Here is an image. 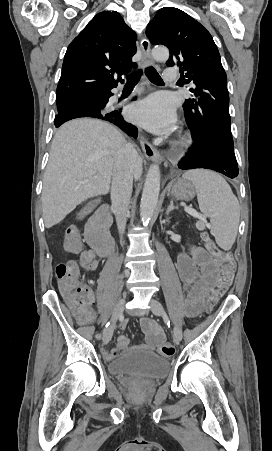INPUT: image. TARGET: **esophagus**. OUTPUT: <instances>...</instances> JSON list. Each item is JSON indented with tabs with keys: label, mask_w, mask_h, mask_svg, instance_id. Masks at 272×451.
<instances>
[{
	"label": "esophagus",
	"mask_w": 272,
	"mask_h": 451,
	"mask_svg": "<svg viewBox=\"0 0 272 451\" xmlns=\"http://www.w3.org/2000/svg\"><path fill=\"white\" fill-rule=\"evenodd\" d=\"M141 51H142V59L141 64L143 67L154 65V60L151 56L150 51V42L147 38H143L140 43ZM142 150L148 158V160L162 162L164 161V157L160 155V153L148 142L145 137H141L140 140Z\"/></svg>",
	"instance_id": "obj_1"
}]
</instances>
